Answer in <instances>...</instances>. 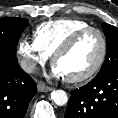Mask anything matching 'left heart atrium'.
<instances>
[{
	"label": "left heart atrium",
	"mask_w": 118,
	"mask_h": 118,
	"mask_svg": "<svg viewBox=\"0 0 118 118\" xmlns=\"http://www.w3.org/2000/svg\"><path fill=\"white\" fill-rule=\"evenodd\" d=\"M51 75L55 78H62L64 77L62 71L56 66L54 65L51 69Z\"/></svg>",
	"instance_id": "left-heart-atrium-1"
}]
</instances>
